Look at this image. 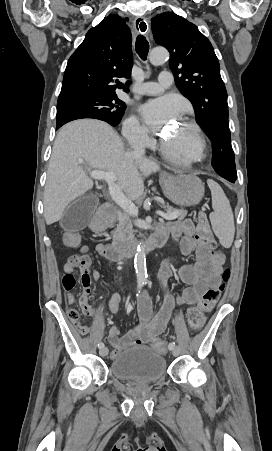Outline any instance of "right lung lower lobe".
<instances>
[{
	"label": "right lung lower lobe",
	"instance_id": "obj_1",
	"mask_svg": "<svg viewBox=\"0 0 272 451\" xmlns=\"http://www.w3.org/2000/svg\"><path fill=\"white\" fill-rule=\"evenodd\" d=\"M64 125V124H63ZM62 125H56V129L60 128Z\"/></svg>",
	"mask_w": 272,
	"mask_h": 451
}]
</instances>
